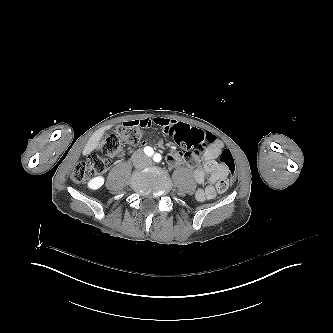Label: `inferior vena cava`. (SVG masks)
<instances>
[{"label":"inferior vena cava","instance_id":"1","mask_svg":"<svg viewBox=\"0 0 333 333\" xmlns=\"http://www.w3.org/2000/svg\"><path fill=\"white\" fill-rule=\"evenodd\" d=\"M132 160L139 166L148 165L150 163V159L144 154L143 150L141 149L134 152Z\"/></svg>","mask_w":333,"mask_h":333}]
</instances>
